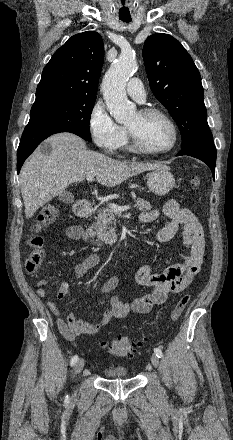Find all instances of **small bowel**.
Wrapping results in <instances>:
<instances>
[{
  "instance_id": "c3829d8e",
  "label": "small bowel",
  "mask_w": 233,
  "mask_h": 440,
  "mask_svg": "<svg viewBox=\"0 0 233 440\" xmlns=\"http://www.w3.org/2000/svg\"><path fill=\"white\" fill-rule=\"evenodd\" d=\"M163 214L169 219V222L156 233L155 238L158 242L169 241L177 233L179 226H182L185 250L181 255V261L168 266L161 272H154L149 264L139 267L135 279L140 285L150 288V291L128 304L122 303L118 297H112L108 304L100 298L99 304L103 306L104 313L101 320L95 324L85 323L73 313H69L64 319L58 305L54 301H48L47 308L56 316L58 329L66 339L74 340L81 336H93L114 318H124L131 313H148L153 307L163 304L170 294L182 292L192 282L203 263L206 246L204 229L195 214L189 208L181 207L175 199H170L165 203ZM159 216L160 211L157 209L144 211L140 214V221L151 223ZM81 232L77 226L66 229L67 237L74 241L80 238ZM99 262L98 254H87L80 263L75 265L74 277L77 279L83 277ZM119 281V276H111L102 283L99 293L105 294L112 291L118 286ZM46 284L47 280L44 278L37 282L36 292L41 298L47 295ZM68 289V284L62 282L56 294L57 299H63L68 293Z\"/></svg>"
}]
</instances>
